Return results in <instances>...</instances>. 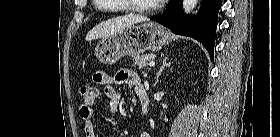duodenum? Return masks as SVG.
<instances>
[{
    "mask_svg": "<svg viewBox=\"0 0 280 137\" xmlns=\"http://www.w3.org/2000/svg\"><path fill=\"white\" fill-rule=\"evenodd\" d=\"M139 97H140L141 104L143 106V112L148 113L149 97L144 87L141 88L139 92Z\"/></svg>",
    "mask_w": 280,
    "mask_h": 137,
    "instance_id": "obj_1",
    "label": "duodenum"
}]
</instances>
